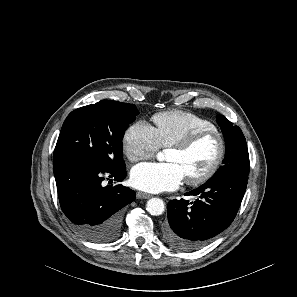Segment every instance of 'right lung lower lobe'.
<instances>
[{"instance_id":"1","label":"right lung lower lobe","mask_w":297,"mask_h":297,"mask_svg":"<svg viewBox=\"0 0 297 297\" xmlns=\"http://www.w3.org/2000/svg\"><path fill=\"white\" fill-rule=\"evenodd\" d=\"M61 209L75 230L89 241L106 243L116 239L122 224L123 207L135 192L121 184L102 186L104 176L120 182L124 169L107 170L85 160L53 161Z\"/></svg>"}]
</instances>
